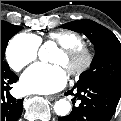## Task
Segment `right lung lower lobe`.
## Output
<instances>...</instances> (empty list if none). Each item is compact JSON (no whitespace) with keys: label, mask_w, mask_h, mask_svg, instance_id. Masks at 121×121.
I'll use <instances>...</instances> for the list:
<instances>
[{"label":"right lung lower lobe","mask_w":121,"mask_h":121,"mask_svg":"<svg viewBox=\"0 0 121 121\" xmlns=\"http://www.w3.org/2000/svg\"><path fill=\"white\" fill-rule=\"evenodd\" d=\"M18 80L9 66H1V121H16L23 111V99H15L9 93L11 85Z\"/></svg>","instance_id":"1"}]
</instances>
